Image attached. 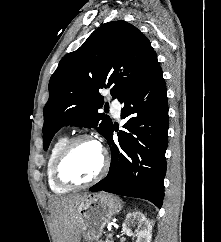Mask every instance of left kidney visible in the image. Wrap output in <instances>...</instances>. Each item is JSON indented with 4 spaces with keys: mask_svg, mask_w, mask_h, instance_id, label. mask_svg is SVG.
Segmentation results:
<instances>
[{
    "mask_svg": "<svg viewBox=\"0 0 221 242\" xmlns=\"http://www.w3.org/2000/svg\"><path fill=\"white\" fill-rule=\"evenodd\" d=\"M136 221L138 222V229L133 233L130 227L135 226L137 224ZM122 231L127 236L136 237V242H151V222L139 211L127 214L125 222L122 225Z\"/></svg>",
    "mask_w": 221,
    "mask_h": 242,
    "instance_id": "5707ae66",
    "label": "left kidney"
}]
</instances>
